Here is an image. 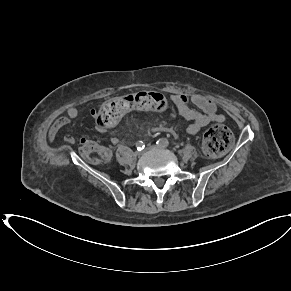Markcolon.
I'll use <instances>...</instances> for the list:
<instances>
[{"instance_id": "5ec220e1", "label": "colon", "mask_w": 291, "mask_h": 291, "mask_svg": "<svg viewBox=\"0 0 291 291\" xmlns=\"http://www.w3.org/2000/svg\"><path fill=\"white\" fill-rule=\"evenodd\" d=\"M166 99L153 91H139L132 94L113 98L105 102L99 109L96 122L99 129L115 126L125 115L134 111L162 112L167 108ZM233 143L230 130L223 125L209 128L203 136L204 151L210 156L225 153ZM81 154L90 162L102 164L108 162L110 151L93 142H86L81 147Z\"/></svg>"}]
</instances>
